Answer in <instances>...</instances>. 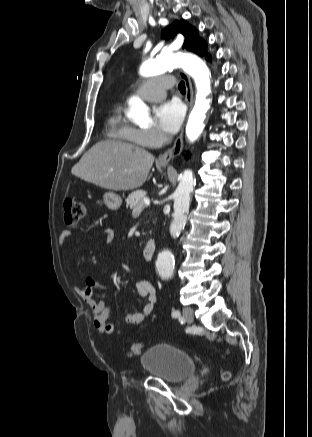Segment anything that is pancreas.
I'll return each mask as SVG.
<instances>
[{"instance_id":"pancreas-1","label":"pancreas","mask_w":312,"mask_h":437,"mask_svg":"<svg viewBox=\"0 0 312 437\" xmlns=\"http://www.w3.org/2000/svg\"><path fill=\"white\" fill-rule=\"evenodd\" d=\"M146 197V192L143 190H137L129 194V196L126 198V206L130 207V209L134 210L135 208L142 206V208H145L146 205L144 204L143 200Z\"/></svg>"}]
</instances>
